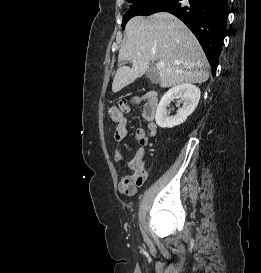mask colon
<instances>
[{"mask_svg": "<svg viewBox=\"0 0 261 273\" xmlns=\"http://www.w3.org/2000/svg\"><path fill=\"white\" fill-rule=\"evenodd\" d=\"M129 109V101L122 99L119 103V106H112L109 111V118L114 122H119L124 117V112Z\"/></svg>", "mask_w": 261, "mask_h": 273, "instance_id": "1", "label": "colon"}]
</instances>
